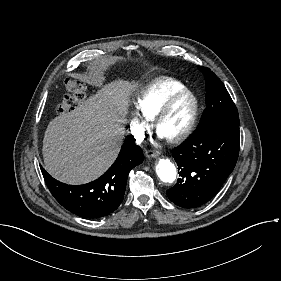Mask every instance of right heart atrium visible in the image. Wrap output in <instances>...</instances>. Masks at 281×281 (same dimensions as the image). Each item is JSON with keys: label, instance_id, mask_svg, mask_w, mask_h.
Returning a JSON list of instances; mask_svg holds the SVG:
<instances>
[{"label": "right heart atrium", "instance_id": "obj_1", "mask_svg": "<svg viewBox=\"0 0 281 281\" xmlns=\"http://www.w3.org/2000/svg\"><path fill=\"white\" fill-rule=\"evenodd\" d=\"M132 134H133V137H134L137 141L141 140L142 137H143V131H142V129H140L139 127H137V126H135V125L132 126Z\"/></svg>", "mask_w": 281, "mask_h": 281}]
</instances>
